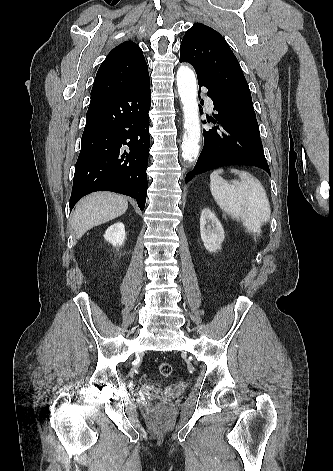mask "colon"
Masks as SVG:
<instances>
[{"mask_svg":"<svg viewBox=\"0 0 333 471\" xmlns=\"http://www.w3.org/2000/svg\"><path fill=\"white\" fill-rule=\"evenodd\" d=\"M158 370L162 377H169L172 374V366L168 362L160 363Z\"/></svg>","mask_w":333,"mask_h":471,"instance_id":"obj_1","label":"colon"}]
</instances>
